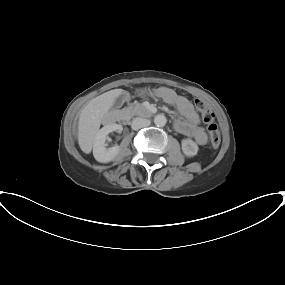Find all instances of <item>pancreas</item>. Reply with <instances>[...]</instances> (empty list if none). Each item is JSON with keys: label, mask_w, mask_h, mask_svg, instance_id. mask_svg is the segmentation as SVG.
<instances>
[{"label": "pancreas", "mask_w": 285, "mask_h": 285, "mask_svg": "<svg viewBox=\"0 0 285 285\" xmlns=\"http://www.w3.org/2000/svg\"><path fill=\"white\" fill-rule=\"evenodd\" d=\"M125 110H126V111H129L131 116H133V115L136 114V111L134 110V108H133L132 106L129 107V108H127V109H125Z\"/></svg>", "instance_id": "obj_1"}]
</instances>
